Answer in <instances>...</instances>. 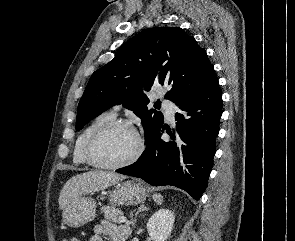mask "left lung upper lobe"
Listing matches in <instances>:
<instances>
[{
    "label": "left lung upper lobe",
    "mask_w": 295,
    "mask_h": 241,
    "mask_svg": "<svg viewBox=\"0 0 295 241\" xmlns=\"http://www.w3.org/2000/svg\"><path fill=\"white\" fill-rule=\"evenodd\" d=\"M214 75L206 51L183 29L144 30L92 74L78 105L76 130L111 106L123 104L141 118L148 144L164 118L161 112L148 109L149 99L144 92L153 84L169 85L165 98L176 103Z\"/></svg>",
    "instance_id": "1"
}]
</instances>
